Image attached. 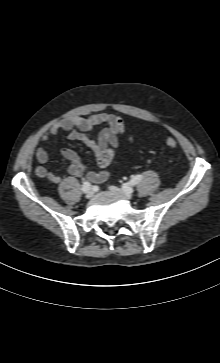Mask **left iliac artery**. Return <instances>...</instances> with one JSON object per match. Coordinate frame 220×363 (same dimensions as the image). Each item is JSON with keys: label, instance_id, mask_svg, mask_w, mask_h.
Instances as JSON below:
<instances>
[{"label": "left iliac artery", "instance_id": "left-iliac-artery-1", "mask_svg": "<svg viewBox=\"0 0 220 363\" xmlns=\"http://www.w3.org/2000/svg\"><path fill=\"white\" fill-rule=\"evenodd\" d=\"M142 180V175H135L132 176L131 180L129 183H126L122 186V188L124 190H129L130 186H134L136 184H138L140 181Z\"/></svg>", "mask_w": 220, "mask_h": 363}]
</instances>
